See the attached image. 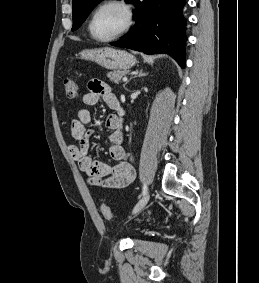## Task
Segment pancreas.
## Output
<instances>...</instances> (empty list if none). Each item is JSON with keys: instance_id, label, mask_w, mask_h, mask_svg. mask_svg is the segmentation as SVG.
I'll return each mask as SVG.
<instances>
[{"instance_id": "pancreas-1", "label": "pancreas", "mask_w": 259, "mask_h": 283, "mask_svg": "<svg viewBox=\"0 0 259 283\" xmlns=\"http://www.w3.org/2000/svg\"><path fill=\"white\" fill-rule=\"evenodd\" d=\"M127 73L126 70H117V71H113V72H109L107 74V77L115 82V83H118L122 78L123 76Z\"/></svg>"}]
</instances>
